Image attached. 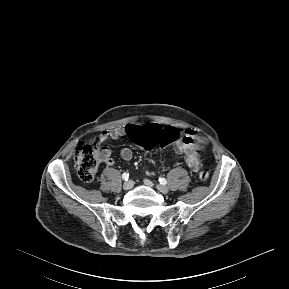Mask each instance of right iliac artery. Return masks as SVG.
Wrapping results in <instances>:
<instances>
[{
	"instance_id": "82829eb1",
	"label": "right iliac artery",
	"mask_w": 289,
	"mask_h": 289,
	"mask_svg": "<svg viewBox=\"0 0 289 289\" xmlns=\"http://www.w3.org/2000/svg\"><path fill=\"white\" fill-rule=\"evenodd\" d=\"M122 178H123V180H125V181H127L128 179H129V174L128 173H123L122 174Z\"/></svg>"
}]
</instances>
